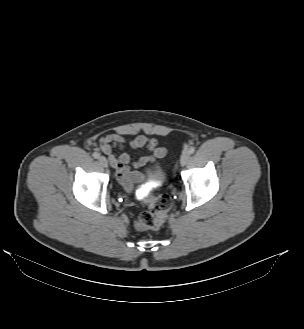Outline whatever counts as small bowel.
<instances>
[{
	"instance_id": "small-bowel-1",
	"label": "small bowel",
	"mask_w": 304,
	"mask_h": 329,
	"mask_svg": "<svg viewBox=\"0 0 304 329\" xmlns=\"http://www.w3.org/2000/svg\"><path fill=\"white\" fill-rule=\"evenodd\" d=\"M127 145L132 149L147 148L151 151V155L133 160L127 152H123L119 156L115 154V149H122ZM99 148L108 156L110 165L116 171L118 183L128 193L132 192L135 183L145 179L144 174L136 169L146 164H155L166 154V149L159 145L156 138L145 135H138L128 141L121 134H108L101 138Z\"/></svg>"
}]
</instances>
